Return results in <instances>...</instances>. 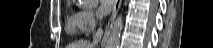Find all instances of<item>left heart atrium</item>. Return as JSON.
<instances>
[{
	"label": "left heart atrium",
	"mask_w": 213,
	"mask_h": 48,
	"mask_svg": "<svg viewBox=\"0 0 213 48\" xmlns=\"http://www.w3.org/2000/svg\"><path fill=\"white\" fill-rule=\"evenodd\" d=\"M114 0H100L98 11L101 15L108 14L114 7Z\"/></svg>",
	"instance_id": "1"
}]
</instances>
